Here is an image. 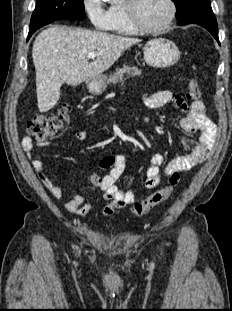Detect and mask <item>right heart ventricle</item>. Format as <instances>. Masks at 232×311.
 <instances>
[{
    "label": "right heart ventricle",
    "instance_id": "e07e8e85",
    "mask_svg": "<svg viewBox=\"0 0 232 311\" xmlns=\"http://www.w3.org/2000/svg\"><path fill=\"white\" fill-rule=\"evenodd\" d=\"M111 22L108 30L119 35H135L137 32L130 25L123 4H112L109 8Z\"/></svg>",
    "mask_w": 232,
    "mask_h": 311
}]
</instances>
